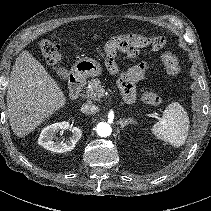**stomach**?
<instances>
[{
	"mask_svg": "<svg viewBox=\"0 0 211 211\" xmlns=\"http://www.w3.org/2000/svg\"><path fill=\"white\" fill-rule=\"evenodd\" d=\"M102 65L92 58L79 59L73 66V73L82 78L100 76Z\"/></svg>",
	"mask_w": 211,
	"mask_h": 211,
	"instance_id": "stomach-1",
	"label": "stomach"
}]
</instances>
